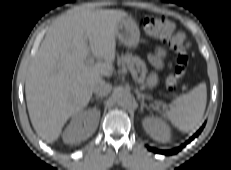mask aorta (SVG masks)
<instances>
[{"label": "aorta", "instance_id": "762f6f07", "mask_svg": "<svg viewBox=\"0 0 231 170\" xmlns=\"http://www.w3.org/2000/svg\"><path fill=\"white\" fill-rule=\"evenodd\" d=\"M117 103L122 107H129L132 104V98L130 95L122 93L117 96Z\"/></svg>", "mask_w": 231, "mask_h": 170}]
</instances>
